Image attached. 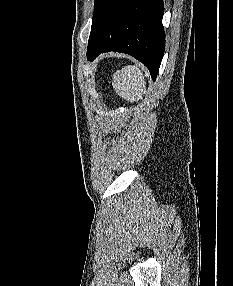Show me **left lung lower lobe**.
Masks as SVG:
<instances>
[{"label":"left lung lower lobe","mask_w":233,"mask_h":286,"mask_svg":"<svg viewBox=\"0 0 233 286\" xmlns=\"http://www.w3.org/2000/svg\"><path fill=\"white\" fill-rule=\"evenodd\" d=\"M163 0H95L87 59L100 53H127L155 80L164 55Z\"/></svg>","instance_id":"1"}]
</instances>
